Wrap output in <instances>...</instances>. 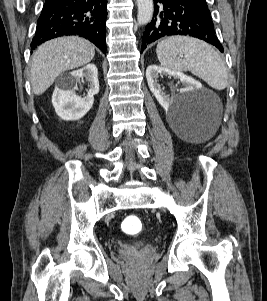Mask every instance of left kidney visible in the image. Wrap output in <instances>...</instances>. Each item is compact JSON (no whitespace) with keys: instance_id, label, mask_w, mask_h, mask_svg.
Returning <instances> with one entry per match:
<instances>
[{"instance_id":"obj_1","label":"left kidney","mask_w":267,"mask_h":301,"mask_svg":"<svg viewBox=\"0 0 267 301\" xmlns=\"http://www.w3.org/2000/svg\"><path fill=\"white\" fill-rule=\"evenodd\" d=\"M159 75L171 76L175 79H179L184 85V88L179 90L180 94L192 92L195 89L200 88V83L191 77L185 75L180 71L171 70L165 67H160L157 65H150L146 69V78L150 91L156 97L159 104L165 109L169 110L172 108L175 97L166 95L162 89L161 85L158 82Z\"/></svg>"}]
</instances>
